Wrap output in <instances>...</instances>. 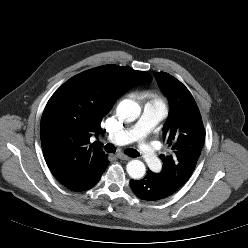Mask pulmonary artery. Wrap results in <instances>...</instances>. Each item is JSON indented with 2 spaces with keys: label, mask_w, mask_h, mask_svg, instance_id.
Returning a JSON list of instances; mask_svg holds the SVG:
<instances>
[{
  "label": "pulmonary artery",
  "mask_w": 248,
  "mask_h": 248,
  "mask_svg": "<svg viewBox=\"0 0 248 248\" xmlns=\"http://www.w3.org/2000/svg\"><path fill=\"white\" fill-rule=\"evenodd\" d=\"M165 115L166 110L162 105L147 103L139 120L133 126L111 133L107 139L115 145L137 142L142 159L152 170H156L160 166V158L154 146L148 141L147 135Z\"/></svg>",
  "instance_id": "pulmonary-artery-1"
}]
</instances>
